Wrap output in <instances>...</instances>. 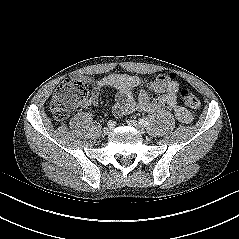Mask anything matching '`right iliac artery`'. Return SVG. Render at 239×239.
<instances>
[{"mask_svg":"<svg viewBox=\"0 0 239 239\" xmlns=\"http://www.w3.org/2000/svg\"><path fill=\"white\" fill-rule=\"evenodd\" d=\"M108 125H110L111 127H114L115 126V121L114 120H110L108 122Z\"/></svg>","mask_w":239,"mask_h":239,"instance_id":"1","label":"right iliac artery"}]
</instances>
